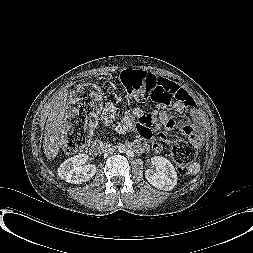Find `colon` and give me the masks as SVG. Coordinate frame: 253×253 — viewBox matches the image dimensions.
I'll return each mask as SVG.
<instances>
[{
  "mask_svg": "<svg viewBox=\"0 0 253 253\" xmlns=\"http://www.w3.org/2000/svg\"><path fill=\"white\" fill-rule=\"evenodd\" d=\"M121 81L126 93L141 103L168 105L179 91L173 82L139 69L124 70ZM101 99V91L90 83L82 85L72 93L62 140L66 153H76L89 140L90 130L101 107ZM194 138L177 140L172 146L173 160L182 175L189 172V167L197 155Z\"/></svg>",
  "mask_w": 253,
  "mask_h": 253,
  "instance_id": "obj_1",
  "label": "colon"
}]
</instances>
